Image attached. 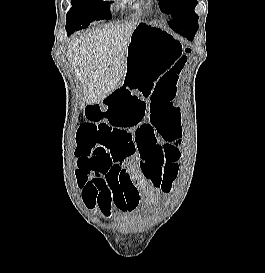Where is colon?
Here are the masks:
<instances>
[{
  "label": "colon",
  "mask_w": 265,
  "mask_h": 273,
  "mask_svg": "<svg viewBox=\"0 0 265 273\" xmlns=\"http://www.w3.org/2000/svg\"><path fill=\"white\" fill-rule=\"evenodd\" d=\"M185 61V56H180L173 67L160 77L152 92V105L148 109L149 127L159 132V139L165 142L162 170L152 173L154 185L165 192L170 190L178 176L179 162L182 157L178 147L182 145V142L179 141L182 136V121L179 109L173 101L177 95L178 75ZM111 137L110 129H78L77 131V175L79 183L84 184L87 194L95 192L93 183L87 179V174L92 170L103 172L108 167L105 152Z\"/></svg>",
  "instance_id": "obj_1"
}]
</instances>
